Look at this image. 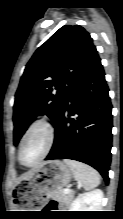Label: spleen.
<instances>
[{
  "instance_id": "3e777b00",
  "label": "spleen",
  "mask_w": 123,
  "mask_h": 219,
  "mask_svg": "<svg viewBox=\"0 0 123 219\" xmlns=\"http://www.w3.org/2000/svg\"><path fill=\"white\" fill-rule=\"evenodd\" d=\"M64 162L71 168L75 180H77L85 190L94 189L100 184L101 178L95 169L74 160L64 159Z\"/></svg>"
}]
</instances>
